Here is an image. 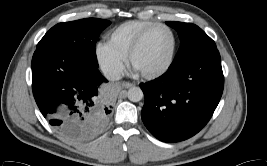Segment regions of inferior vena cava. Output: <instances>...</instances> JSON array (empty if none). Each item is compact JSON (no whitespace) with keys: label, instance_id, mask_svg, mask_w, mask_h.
Masks as SVG:
<instances>
[{"label":"inferior vena cava","instance_id":"inferior-vena-cava-1","mask_svg":"<svg viewBox=\"0 0 267 166\" xmlns=\"http://www.w3.org/2000/svg\"><path fill=\"white\" fill-rule=\"evenodd\" d=\"M104 75L108 80L116 81L121 78V74L117 69L107 68L104 70Z\"/></svg>","mask_w":267,"mask_h":166}]
</instances>
